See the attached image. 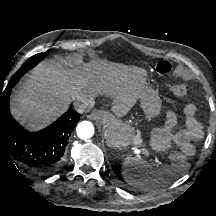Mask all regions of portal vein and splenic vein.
Instances as JSON below:
<instances>
[{
  "label": "portal vein and splenic vein",
  "instance_id": "portal-vein-and-splenic-vein-1",
  "mask_svg": "<svg viewBox=\"0 0 216 216\" xmlns=\"http://www.w3.org/2000/svg\"><path fill=\"white\" fill-rule=\"evenodd\" d=\"M133 149L135 150L136 153H143V154L148 155V151L145 150L144 148H141V147H139V146H136V147H133Z\"/></svg>",
  "mask_w": 216,
  "mask_h": 216
}]
</instances>
